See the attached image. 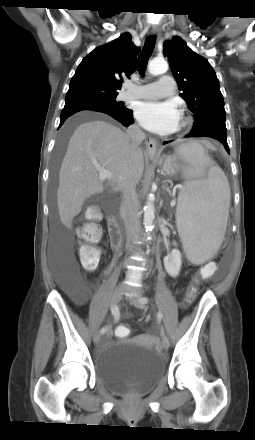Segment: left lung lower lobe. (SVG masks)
<instances>
[{
    "mask_svg": "<svg viewBox=\"0 0 255 440\" xmlns=\"http://www.w3.org/2000/svg\"><path fill=\"white\" fill-rule=\"evenodd\" d=\"M226 132L227 131H224L219 128H205V129L197 130V131L192 130L185 137H210V138L216 139L224 145L226 151L229 153V146L227 143V133ZM169 142H171V141H165L164 144L169 143Z\"/></svg>",
    "mask_w": 255,
    "mask_h": 440,
    "instance_id": "0a47b994",
    "label": "left lung lower lobe"
}]
</instances>
